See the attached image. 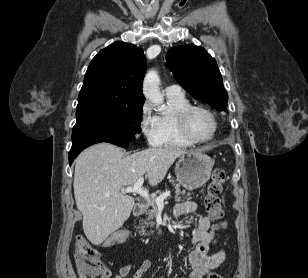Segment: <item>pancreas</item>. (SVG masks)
Segmentation results:
<instances>
[{
	"mask_svg": "<svg viewBox=\"0 0 308 278\" xmlns=\"http://www.w3.org/2000/svg\"><path fill=\"white\" fill-rule=\"evenodd\" d=\"M175 198L176 200L180 201L181 196H184L186 194L185 190H181L179 185H175ZM144 207L146 209V215H148L147 219L144 220L141 225L139 226V229L143 232V234L145 235V226H154L155 222H153L152 220L155 218V216L158 213V208L157 205L155 203V200H147L144 204ZM150 208V209H149Z\"/></svg>",
	"mask_w": 308,
	"mask_h": 278,
	"instance_id": "1",
	"label": "pancreas"
}]
</instances>
